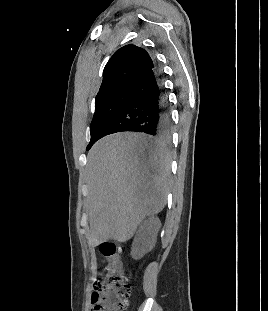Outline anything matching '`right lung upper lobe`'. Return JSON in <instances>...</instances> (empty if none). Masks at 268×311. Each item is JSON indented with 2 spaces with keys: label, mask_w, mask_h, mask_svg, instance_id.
Returning a JSON list of instances; mask_svg holds the SVG:
<instances>
[{
  "label": "right lung upper lobe",
  "mask_w": 268,
  "mask_h": 311,
  "mask_svg": "<svg viewBox=\"0 0 268 311\" xmlns=\"http://www.w3.org/2000/svg\"><path fill=\"white\" fill-rule=\"evenodd\" d=\"M153 66V60L143 48L133 44L123 46L106 64L96 99L124 85L137 84L139 79Z\"/></svg>",
  "instance_id": "cb5924a9"
}]
</instances>
